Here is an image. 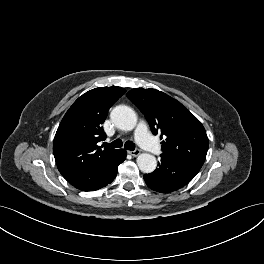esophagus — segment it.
Instances as JSON below:
<instances>
[{
  "label": "esophagus",
  "mask_w": 264,
  "mask_h": 264,
  "mask_svg": "<svg viewBox=\"0 0 264 264\" xmlns=\"http://www.w3.org/2000/svg\"><path fill=\"white\" fill-rule=\"evenodd\" d=\"M128 153L132 155L133 157H137L140 154V150L136 149L133 151H128Z\"/></svg>",
  "instance_id": "esophagus-1"
}]
</instances>
